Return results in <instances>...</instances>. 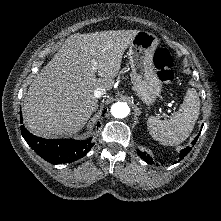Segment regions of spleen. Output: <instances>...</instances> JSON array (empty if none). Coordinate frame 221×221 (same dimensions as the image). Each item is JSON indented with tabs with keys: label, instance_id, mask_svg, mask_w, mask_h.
<instances>
[{
	"label": "spleen",
	"instance_id": "spleen-1",
	"mask_svg": "<svg viewBox=\"0 0 221 221\" xmlns=\"http://www.w3.org/2000/svg\"><path fill=\"white\" fill-rule=\"evenodd\" d=\"M200 112V100L194 88H190L177 112L168 119L150 116L147 128L152 138L162 145L173 146L185 141L192 132Z\"/></svg>",
	"mask_w": 221,
	"mask_h": 221
}]
</instances>
